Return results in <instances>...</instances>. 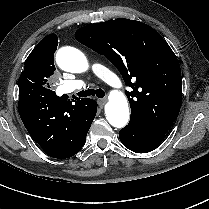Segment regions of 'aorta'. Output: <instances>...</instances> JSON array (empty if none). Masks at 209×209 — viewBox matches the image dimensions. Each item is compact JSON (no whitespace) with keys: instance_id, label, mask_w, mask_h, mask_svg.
Returning <instances> with one entry per match:
<instances>
[{"instance_id":"762f6f07","label":"aorta","mask_w":209,"mask_h":209,"mask_svg":"<svg viewBox=\"0 0 209 209\" xmlns=\"http://www.w3.org/2000/svg\"><path fill=\"white\" fill-rule=\"evenodd\" d=\"M58 66L68 72L82 73L88 68L86 56L74 47H63L56 54ZM106 119L116 128L124 127L129 121V107L126 96L119 91L109 95L105 105Z\"/></svg>"}]
</instances>
